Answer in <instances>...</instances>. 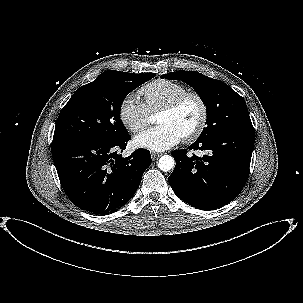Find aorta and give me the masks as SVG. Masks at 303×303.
Returning <instances> with one entry per match:
<instances>
[{
  "label": "aorta",
  "instance_id": "obj_1",
  "mask_svg": "<svg viewBox=\"0 0 303 303\" xmlns=\"http://www.w3.org/2000/svg\"><path fill=\"white\" fill-rule=\"evenodd\" d=\"M174 158L170 155H163L158 162V168L162 171H170L174 167Z\"/></svg>",
  "mask_w": 303,
  "mask_h": 303
}]
</instances>
